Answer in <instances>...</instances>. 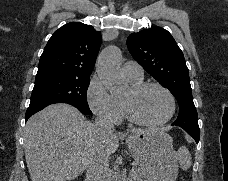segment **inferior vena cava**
Listing matches in <instances>:
<instances>
[{
	"instance_id": "inferior-vena-cava-1",
	"label": "inferior vena cava",
	"mask_w": 228,
	"mask_h": 181,
	"mask_svg": "<svg viewBox=\"0 0 228 181\" xmlns=\"http://www.w3.org/2000/svg\"><path fill=\"white\" fill-rule=\"evenodd\" d=\"M90 135L99 133L101 137L114 133V125L104 115H98L94 123L90 125ZM109 157L100 151H92L87 161V173L85 181H110Z\"/></svg>"
}]
</instances>
